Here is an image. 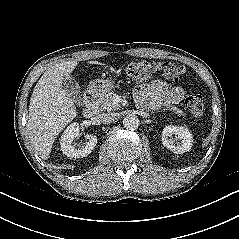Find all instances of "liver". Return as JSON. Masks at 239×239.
I'll use <instances>...</instances> for the list:
<instances>
[{"label":"liver","instance_id":"1","mask_svg":"<svg viewBox=\"0 0 239 239\" xmlns=\"http://www.w3.org/2000/svg\"><path fill=\"white\" fill-rule=\"evenodd\" d=\"M77 65V60H66L49 67L34 87L27 129L34 148L44 160L49 158L56 137L77 115L74 102L62 87L64 78Z\"/></svg>","mask_w":239,"mask_h":239}]
</instances>
